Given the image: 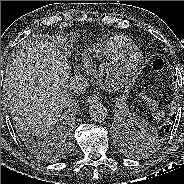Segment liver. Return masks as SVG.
Segmentation results:
<instances>
[{
    "label": "liver",
    "mask_w": 184,
    "mask_h": 184,
    "mask_svg": "<svg viewBox=\"0 0 184 184\" xmlns=\"http://www.w3.org/2000/svg\"><path fill=\"white\" fill-rule=\"evenodd\" d=\"M66 62L47 39L24 42L6 68V102L36 134H48L68 101Z\"/></svg>",
    "instance_id": "liver-1"
}]
</instances>
